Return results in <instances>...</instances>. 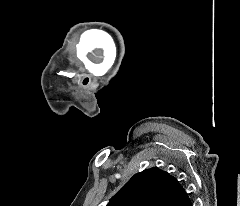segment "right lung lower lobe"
<instances>
[{
	"label": "right lung lower lobe",
	"mask_w": 240,
	"mask_h": 206,
	"mask_svg": "<svg viewBox=\"0 0 240 206\" xmlns=\"http://www.w3.org/2000/svg\"><path fill=\"white\" fill-rule=\"evenodd\" d=\"M188 206H192V203L190 202V204Z\"/></svg>",
	"instance_id": "obj_1"
}]
</instances>
